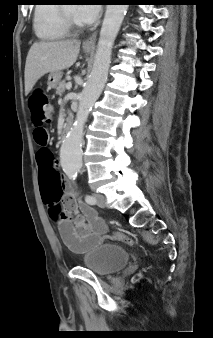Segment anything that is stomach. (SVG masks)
<instances>
[{
    "label": "stomach",
    "instance_id": "stomach-1",
    "mask_svg": "<svg viewBox=\"0 0 213 338\" xmlns=\"http://www.w3.org/2000/svg\"><path fill=\"white\" fill-rule=\"evenodd\" d=\"M91 50L90 49H86L84 48V52L85 53H89ZM62 78V72L61 71H55V72H51L48 76V88L49 89H53L56 88L58 83L60 82Z\"/></svg>",
    "mask_w": 213,
    "mask_h": 338
}]
</instances>
